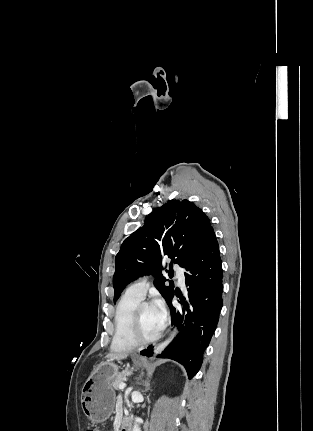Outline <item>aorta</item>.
Returning <instances> with one entry per match:
<instances>
[{
	"label": "aorta",
	"mask_w": 313,
	"mask_h": 431,
	"mask_svg": "<svg viewBox=\"0 0 313 431\" xmlns=\"http://www.w3.org/2000/svg\"><path fill=\"white\" fill-rule=\"evenodd\" d=\"M175 334H176V331H174L166 341H164L162 344H160L155 349V351H154L155 354L161 353L165 349V347L172 341V339L174 338ZM138 421H139V419L136 418L132 431H141V429H140V427L138 425Z\"/></svg>",
	"instance_id": "762f6f07"
}]
</instances>
